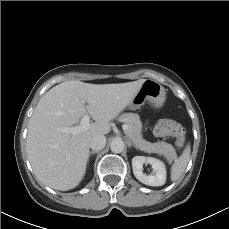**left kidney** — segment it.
I'll return each mask as SVG.
<instances>
[{
  "label": "left kidney",
  "instance_id": "obj_1",
  "mask_svg": "<svg viewBox=\"0 0 229 229\" xmlns=\"http://www.w3.org/2000/svg\"><path fill=\"white\" fill-rule=\"evenodd\" d=\"M150 164L154 174L143 173V164ZM132 169L134 176L143 184L149 186H162L166 181V167L159 159L145 156H135L132 159Z\"/></svg>",
  "mask_w": 229,
  "mask_h": 229
}]
</instances>
